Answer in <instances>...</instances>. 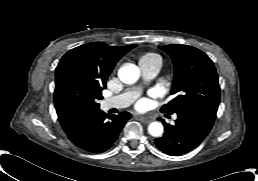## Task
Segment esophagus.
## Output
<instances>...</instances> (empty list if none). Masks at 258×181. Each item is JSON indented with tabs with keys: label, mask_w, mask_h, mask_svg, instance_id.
Instances as JSON below:
<instances>
[{
	"label": "esophagus",
	"mask_w": 258,
	"mask_h": 181,
	"mask_svg": "<svg viewBox=\"0 0 258 181\" xmlns=\"http://www.w3.org/2000/svg\"><path fill=\"white\" fill-rule=\"evenodd\" d=\"M139 119L143 123H150L153 120V118L151 116H148V115L139 116Z\"/></svg>",
	"instance_id": "obj_1"
}]
</instances>
